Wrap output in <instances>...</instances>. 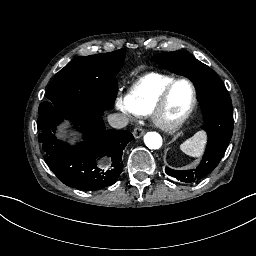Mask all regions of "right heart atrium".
Listing matches in <instances>:
<instances>
[{
	"instance_id": "right-heart-atrium-1",
	"label": "right heart atrium",
	"mask_w": 256,
	"mask_h": 256,
	"mask_svg": "<svg viewBox=\"0 0 256 256\" xmlns=\"http://www.w3.org/2000/svg\"><path fill=\"white\" fill-rule=\"evenodd\" d=\"M131 98H132V94L121 95L120 113H123L126 115H132L134 113L131 108Z\"/></svg>"
}]
</instances>
